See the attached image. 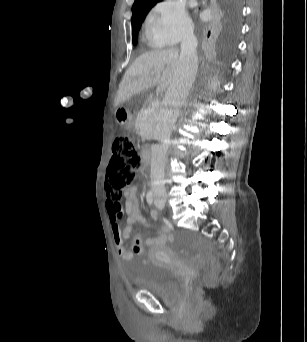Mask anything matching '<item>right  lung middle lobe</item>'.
<instances>
[{"mask_svg": "<svg viewBox=\"0 0 307 342\" xmlns=\"http://www.w3.org/2000/svg\"><path fill=\"white\" fill-rule=\"evenodd\" d=\"M138 33V32H137ZM133 36V35H132ZM137 40V35L133 36V42Z\"/></svg>", "mask_w": 307, "mask_h": 342, "instance_id": "obj_1", "label": "right lung middle lobe"}]
</instances>
